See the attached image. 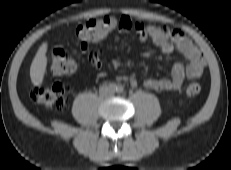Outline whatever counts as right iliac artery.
<instances>
[{
	"mask_svg": "<svg viewBox=\"0 0 231 170\" xmlns=\"http://www.w3.org/2000/svg\"><path fill=\"white\" fill-rule=\"evenodd\" d=\"M109 88H110L111 90H116V89H117V85H116L115 83H110V84H109Z\"/></svg>",
	"mask_w": 231,
	"mask_h": 170,
	"instance_id": "82829eb1",
	"label": "right iliac artery"
}]
</instances>
